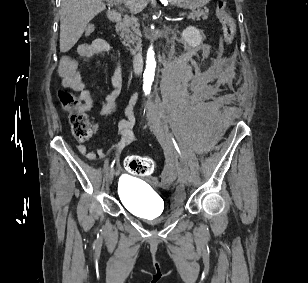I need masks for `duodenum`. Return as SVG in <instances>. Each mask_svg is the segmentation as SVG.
<instances>
[{
    "instance_id": "duodenum-1",
    "label": "duodenum",
    "mask_w": 308,
    "mask_h": 283,
    "mask_svg": "<svg viewBox=\"0 0 308 283\" xmlns=\"http://www.w3.org/2000/svg\"><path fill=\"white\" fill-rule=\"evenodd\" d=\"M108 20L113 24H117L121 20V17L118 13H111L108 16ZM132 66L135 73H140L142 70L143 56L140 52L134 54L132 59Z\"/></svg>"
}]
</instances>
